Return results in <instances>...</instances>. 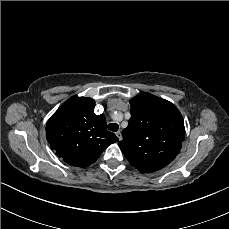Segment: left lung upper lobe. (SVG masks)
Masks as SVG:
<instances>
[{
  "mask_svg": "<svg viewBox=\"0 0 229 229\" xmlns=\"http://www.w3.org/2000/svg\"><path fill=\"white\" fill-rule=\"evenodd\" d=\"M130 105L131 118L118 145L141 173L160 170L181 149L185 138L183 117L174 104L150 93L137 95Z\"/></svg>",
  "mask_w": 229,
  "mask_h": 229,
  "instance_id": "obj_1",
  "label": "left lung upper lobe"
}]
</instances>
